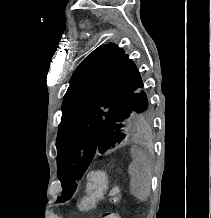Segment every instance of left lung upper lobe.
Wrapping results in <instances>:
<instances>
[{
    "mask_svg": "<svg viewBox=\"0 0 211 218\" xmlns=\"http://www.w3.org/2000/svg\"><path fill=\"white\" fill-rule=\"evenodd\" d=\"M62 112L56 142L59 202L72 197L97 153L139 134L151 120L145 82L113 43L96 48L75 70Z\"/></svg>",
    "mask_w": 211,
    "mask_h": 218,
    "instance_id": "1",
    "label": "left lung upper lobe"
}]
</instances>
